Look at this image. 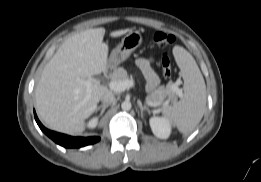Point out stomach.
Wrapping results in <instances>:
<instances>
[{
  "label": "stomach",
  "mask_w": 261,
  "mask_h": 182,
  "mask_svg": "<svg viewBox=\"0 0 261 182\" xmlns=\"http://www.w3.org/2000/svg\"><path fill=\"white\" fill-rule=\"evenodd\" d=\"M142 40L143 38L139 31H130L122 39L121 43L112 50L108 59V66L115 68L125 61L130 54L141 45Z\"/></svg>",
  "instance_id": "obj_1"
}]
</instances>
